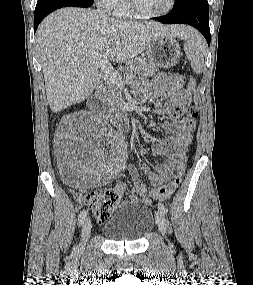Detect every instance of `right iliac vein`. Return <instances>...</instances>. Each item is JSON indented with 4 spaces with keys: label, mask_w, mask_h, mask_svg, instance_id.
I'll list each match as a JSON object with an SVG mask.
<instances>
[{
    "label": "right iliac vein",
    "mask_w": 253,
    "mask_h": 285,
    "mask_svg": "<svg viewBox=\"0 0 253 285\" xmlns=\"http://www.w3.org/2000/svg\"><path fill=\"white\" fill-rule=\"evenodd\" d=\"M91 220L89 218H87L83 225H82V231H81V242L79 244V252H83L86 243L90 237V233H91Z\"/></svg>",
    "instance_id": "right-iliac-vein-1"
}]
</instances>
